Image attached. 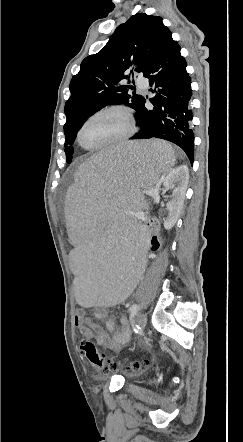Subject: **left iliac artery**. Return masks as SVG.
Wrapping results in <instances>:
<instances>
[{"mask_svg": "<svg viewBox=\"0 0 243 442\" xmlns=\"http://www.w3.org/2000/svg\"><path fill=\"white\" fill-rule=\"evenodd\" d=\"M139 310V306L137 304H133L130 306L129 308V312H130V316L133 317L136 315V313ZM136 333H138V331L140 330L139 326H136V329H134Z\"/></svg>", "mask_w": 243, "mask_h": 442, "instance_id": "44dca946", "label": "left iliac artery"}]
</instances>
